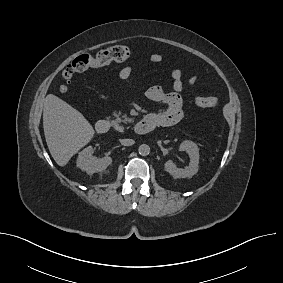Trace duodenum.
<instances>
[{
	"mask_svg": "<svg viewBox=\"0 0 283 283\" xmlns=\"http://www.w3.org/2000/svg\"><path fill=\"white\" fill-rule=\"evenodd\" d=\"M110 126H111V124L108 120L101 119V120H98L96 122L95 129H96L97 133L105 134L109 131ZM155 128H156L155 123L151 119L145 117L144 119H142L141 121H139L135 125L134 131L137 134L143 135V134H147V133L151 132Z\"/></svg>",
	"mask_w": 283,
	"mask_h": 283,
	"instance_id": "obj_1",
	"label": "duodenum"
}]
</instances>
